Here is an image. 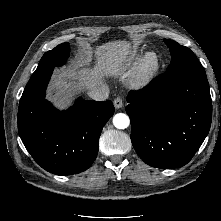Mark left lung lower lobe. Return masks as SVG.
Here are the masks:
<instances>
[{"label":"left lung lower lobe","instance_id":"0a47b994","mask_svg":"<svg viewBox=\"0 0 221 221\" xmlns=\"http://www.w3.org/2000/svg\"><path fill=\"white\" fill-rule=\"evenodd\" d=\"M127 101L132 144L150 166H184L209 132L212 100L198 60L166 70L142 90L130 91Z\"/></svg>","mask_w":221,"mask_h":221}]
</instances>
